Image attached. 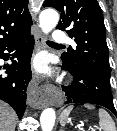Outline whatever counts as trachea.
<instances>
[{
  "label": "trachea",
  "instance_id": "3493384b",
  "mask_svg": "<svg viewBox=\"0 0 117 131\" xmlns=\"http://www.w3.org/2000/svg\"><path fill=\"white\" fill-rule=\"evenodd\" d=\"M48 43L55 44V45H61V44H57V43H55L53 41H48Z\"/></svg>",
  "mask_w": 117,
  "mask_h": 131
}]
</instances>
